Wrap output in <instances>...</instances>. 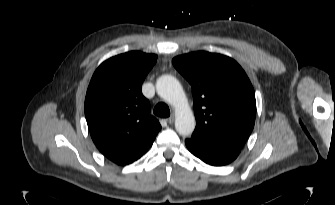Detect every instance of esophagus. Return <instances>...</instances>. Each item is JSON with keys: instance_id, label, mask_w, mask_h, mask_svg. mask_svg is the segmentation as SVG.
<instances>
[{"instance_id": "esophagus-1", "label": "esophagus", "mask_w": 335, "mask_h": 205, "mask_svg": "<svg viewBox=\"0 0 335 205\" xmlns=\"http://www.w3.org/2000/svg\"><path fill=\"white\" fill-rule=\"evenodd\" d=\"M174 120H175V117H174V116H170L169 118L166 119V121H167L169 124H173V123H174Z\"/></svg>"}]
</instances>
